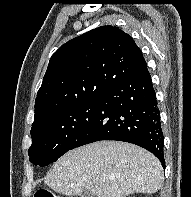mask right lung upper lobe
Listing matches in <instances>:
<instances>
[{"instance_id":"1","label":"right lung upper lobe","mask_w":191,"mask_h":197,"mask_svg":"<svg viewBox=\"0 0 191 197\" xmlns=\"http://www.w3.org/2000/svg\"><path fill=\"white\" fill-rule=\"evenodd\" d=\"M146 67L140 48L118 27L101 26L68 41L50 58L32 127L69 107L98 101L109 86Z\"/></svg>"}]
</instances>
